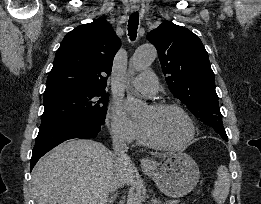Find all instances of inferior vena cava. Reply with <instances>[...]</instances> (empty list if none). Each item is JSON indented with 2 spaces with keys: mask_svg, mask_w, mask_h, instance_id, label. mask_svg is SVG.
Returning <instances> with one entry per match:
<instances>
[{
  "mask_svg": "<svg viewBox=\"0 0 261 204\" xmlns=\"http://www.w3.org/2000/svg\"><path fill=\"white\" fill-rule=\"evenodd\" d=\"M113 164H114V174L111 180V192L116 191L119 187H122V177L121 170L128 165L130 162L129 156L126 154L128 151V146L125 140L117 135H113Z\"/></svg>",
  "mask_w": 261,
  "mask_h": 204,
  "instance_id": "inferior-vena-cava-1",
  "label": "inferior vena cava"
}]
</instances>
